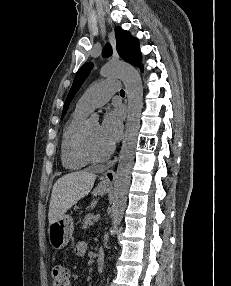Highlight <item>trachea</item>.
Instances as JSON below:
<instances>
[{
  "label": "trachea",
  "mask_w": 231,
  "mask_h": 286,
  "mask_svg": "<svg viewBox=\"0 0 231 286\" xmlns=\"http://www.w3.org/2000/svg\"><path fill=\"white\" fill-rule=\"evenodd\" d=\"M120 94H121V95H125V91H124V90H121V91H120Z\"/></svg>",
  "instance_id": "3493384b"
}]
</instances>
